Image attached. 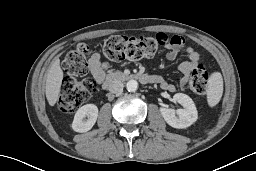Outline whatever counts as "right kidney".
Wrapping results in <instances>:
<instances>
[{"instance_id":"ca27d5eb","label":"right kidney","mask_w":256,"mask_h":171,"mask_svg":"<svg viewBox=\"0 0 256 171\" xmlns=\"http://www.w3.org/2000/svg\"><path fill=\"white\" fill-rule=\"evenodd\" d=\"M87 117V119H85ZM98 117V108L94 104H86L80 107L72 123V129L76 132H87L96 123Z\"/></svg>"}]
</instances>
